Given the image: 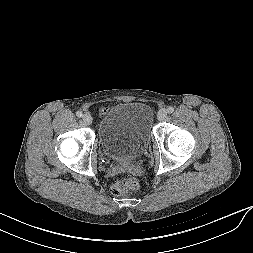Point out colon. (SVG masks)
I'll return each mask as SVG.
<instances>
[{
  "instance_id": "obj_1",
  "label": "colon",
  "mask_w": 253,
  "mask_h": 253,
  "mask_svg": "<svg viewBox=\"0 0 253 253\" xmlns=\"http://www.w3.org/2000/svg\"><path fill=\"white\" fill-rule=\"evenodd\" d=\"M139 187V183L134 178H124L113 184L111 192L116 196H122L132 190H136Z\"/></svg>"
}]
</instances>
